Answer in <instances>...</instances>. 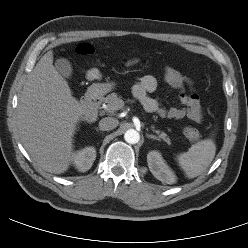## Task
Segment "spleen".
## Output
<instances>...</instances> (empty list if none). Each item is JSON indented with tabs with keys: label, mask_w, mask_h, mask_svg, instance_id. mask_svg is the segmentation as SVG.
<instances>
[{
	"label": "spleen",
	"mask_w": 248,
	"mask_h": 248,
	"mask_svg": "<svg viewBox=\"0 0 248 248\" xmlns=\"http://www.w3.org/2000/svg\"><path fill=\"white\" fill-rule=\"evenodd\" d=\"M216 145L213 139H204L192 145L188 152L178 154L176 160L187 178L201 175L215 157Z\"/></svg>",
	"instance_id": "3e777b00"
}]
</instances>
